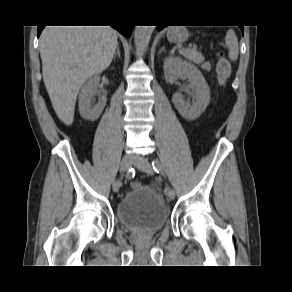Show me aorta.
<instances>
[{"label": "aorta", "mask_w": 292, "mask_h": 292, "mask_svg": "<svg viewBox=\"0 0 292 292\" xmlns=\"http://www.w3.org/2000/svg\"><path fill=\"white\" fill-rule=\"evenodd\" d=\"M154 26H136L134 31V43L138 49L144 50L148 47Z\"/></svg>", "instance_id": "762f6f07"}]
</instances>
